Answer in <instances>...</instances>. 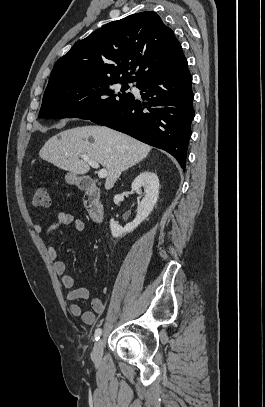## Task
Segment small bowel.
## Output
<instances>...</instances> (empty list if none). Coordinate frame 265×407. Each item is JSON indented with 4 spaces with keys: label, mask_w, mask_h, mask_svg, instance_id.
Instances as JSON below:
<instances>
[{
    "label": "small bowel",
    "mask_w": 265,
    "mask_h": 407,
    "mask_svg": "<svg viewBox=\"0 0 265 407\" xmlns=\"http://www.w3.org/2000/svg\"><path fill=\"white\" fill-rule=\"evenodd\" d=\"M63 226H72L75 230L82 231L85 229V222L71 213L59 212L57 219L45 229V237L47 238ZM33 229L36 233L43 231L40 223H35ZM46 251L48 257L53 262L55 272L61 276L63 287L68 290L67 300L73 302L70 305V313L73 316L81 317L85 324L94 325L96 323V315L102 314L105 310L104 301L100 298H94L91 302L92 311H83L82 307L75 303V301L87 300L90 295L89 290L86 287L75 286V278L66 273V265L63 261L57 259V250L52 244L46 245Z\"/></svg>",
    "instance_id": "small-bowel-1"
}]
</instances>
